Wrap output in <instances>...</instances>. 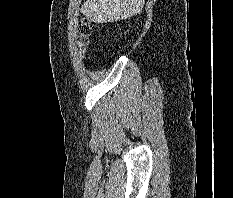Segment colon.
Listing matches in <instances>:
<instances>
[{"mask_svg":"<svg viewBox=\"0 0 233 198\" xmlns=\"http://www.w3.org/2000/svg\"><path fill=\"white\" fill-rule=\"evenodd\" d=\"M92 35V27L88 20L84 19L81 21L78 27V38L77 42L81 49L88 46Z\"/></svg>","mask_w":233,"mask_h":198,"instance_id":"obj_1","label":"colon"}]
</instances>
